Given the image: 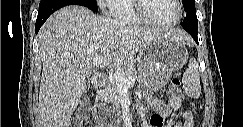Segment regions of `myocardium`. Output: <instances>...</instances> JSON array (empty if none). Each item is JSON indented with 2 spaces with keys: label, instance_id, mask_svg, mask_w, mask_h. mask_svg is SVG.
Returning <instances> with one entry per match:
<instances>
[{
  "label": "myocardium",
  "instance_id": "myocardium-1",
  "mask_svg": "<svg viewBox=\"0 0 243 127\" xmlns=\"http://www.w3.org/2000/svg\"><path fill=\"white\" fill-rule=\"evenodd\" d=\"M174 1L178 7L179 14L178 17L173 22H168V23L161 22L151 17L146 10L145 0H135V10L137 14L148 24L158 26V27H164V28L174 27L181 22L184 13L182 1L181 0H174Z\"/></svg>",
  "mask_w": 243,
  "mask_h": 127
}]
</instances>
